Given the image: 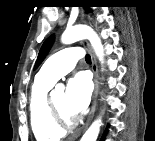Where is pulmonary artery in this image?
Masks as SVG:
<instances>
[{"label":"pulmonary artery","mask_w":155,"mask_h":141,"mask_svg":"<svg viewBox=\"0 0 155 141\" xmlns=\"http://www.w3.org/2000/svg\"><path fill=\"white\" fill-rule=\"evenodd\" d=\"M83 57V51L76 46H69L52 55L37 74L40 80L56 82L71 71L77 61Z\"/></svg>","instance_id":"1"}]
</instances>
